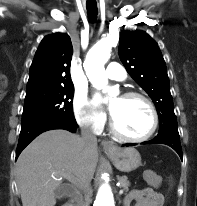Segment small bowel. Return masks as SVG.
<instances>
[{
	"mask_svg": "<svg viewBox=\"0 0 197 206\" xmlns=\"http://www.w3.org/2000/svg\"><path fill=\"white\" fill-rule=\"evenodd\" d=\"M164 206V198L161 193L145 188L140 190H132L125 198V205L129 206Z\"/></svg>",
	"mask_w": 197,
	"mask_h": 206,
	"instance_id": "obj_1",
	"label": "small bowel"
}]
</instances>
